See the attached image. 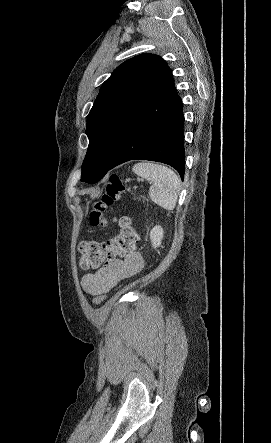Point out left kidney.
I'll list each match as a JSON object with an SVG mask.
<instances>
[{
    "label": "left kidney",
    "mask_w": 271,
    "mask_h": 443,
    "mask_svg": "<svg viewBox=\"0 0 271 443\" xmlns=\"http://www.w3.org/2000/svg\"><path fill=\"white\" fill-rule=\"evenodd\" d=\"M163 233H164V231H163L161 225H155V227H153V229H151L150 239L152 241L153 247H159V245L162 241Z\"/></svg>",
    "instance_id": "obj_1"
}]
</instances>
